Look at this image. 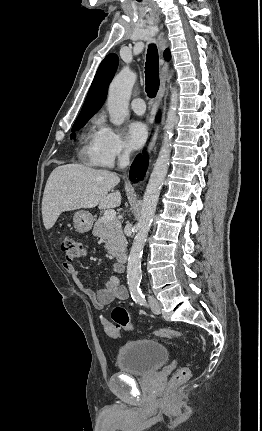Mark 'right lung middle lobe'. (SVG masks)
Here are the masks:
<instances>
[{"label":"right lung middle lobe","mask_w":262,"mask_h":431,"mask_svg":"<svg viewBox=\"0 0 262 431\" xmlns=\"http://www.w3.org/2000/svg\"><path fill=\"white\" fill-rule=\"evenodd\" d=\"M89 118L90 117H79V118H77V120L74 123L73 128H72L71 138L75 137L74 132L79 130L80 128H82L86 124V122L88 121Z\"/></svg>","instance_id":"dd1d6c3e"}]
</instances>
